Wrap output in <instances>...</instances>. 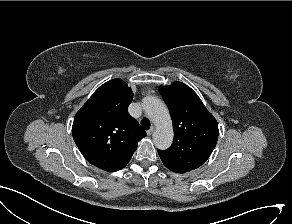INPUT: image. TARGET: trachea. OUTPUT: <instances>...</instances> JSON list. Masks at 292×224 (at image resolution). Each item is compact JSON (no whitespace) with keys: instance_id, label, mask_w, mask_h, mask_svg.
<instances>
[{"instance_id":"obj_1","label":"trachea","mask_w":292,"mask_h":224,"mask_svg":"<svg viewBox=\"0 0 292 224\" xmlns=\"http://www.w3.org/2000/svg\"><path fill=\"white\" fill-rule=\"evenodd\" d=\"M141 126L144 130H148L151 126L150 121L147 118L142 119Z\"/></svg>"}]
</instances>
